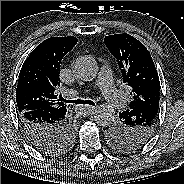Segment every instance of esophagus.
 <instances>
[{
	"mask_svg": "<svg viewBox=\"0 0 184 184\" xmlns=\"http://www.w3.org/2000/svg\"><path fill=\"white\" fill-rule=\"evenodd\" d=\"M94 110H95V107L94 106H88V105L83 106V107H80L78 109V111L80 113H86V114H92L94 112Z\"/></svg>",
	"mask_w": 184,
	"mask_h": 184,
	"instance_id": "esophagus-1",
	"label": "esophagus"
}]
</instances>
